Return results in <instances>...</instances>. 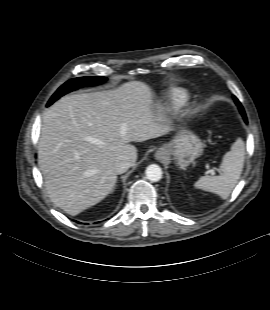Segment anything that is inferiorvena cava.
Here are the masks:
<instances>
[{
	"label": "inferior vena cava",
	"instance_id": "602c4592",
	"mask_svg": "<svg viewBox=\"0 0 270 310\" xmlns=\"http://www.w3.org/2000/svg\"><path fill=\"white\" fill-rule=\"evenodd\" d=\"M132 166V163L128 156L121 155L118 157L114 164V170L117 174H122L126 172L130 167Z\"/></svg>",
	"mask_w": 270,
	"mask_h": 310
}]
</instances>
